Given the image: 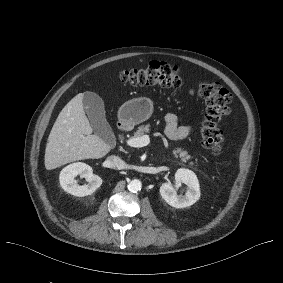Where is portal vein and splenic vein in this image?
<instances>
[{
    "instance_id": "18ae733b",
    "label": "portal vein and splenic vein",
    "mask_w": 283,
    "mask_h": 283,
    "mask_svg": "<svg viewBox=\"0 0 283 283\" xmlns=\"http://www.w3.org/2000/svg\"><path fill=\"white\" fill-rule=\"evenodd\" d=\"M125 143L129 147L141 148V147L149 145L151 142H150L149 136L144 135V136H141V137L128 138V139L125 140Z\"/></svg>"
}]
</instances>
